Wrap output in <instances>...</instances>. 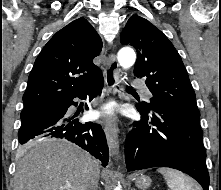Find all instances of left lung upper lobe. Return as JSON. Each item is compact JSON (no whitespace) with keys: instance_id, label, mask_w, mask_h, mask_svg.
Wrapping results in <instances>:
<instances>
[{"instance_id":"left-lung-upper-lobe-1","label":"left lung upper lobe","mask_w":221,"mask_h":190,"mask_svg":"<svg viewBox=\"0 0 221 190\" xmlns=\"http://www.w3.org/2000/svg\"><path fill=\"white\" fill-rule=\"evenodd\" d=\"M123 45H132L138 53L134 75L143 78L153 95L148 111L175 112L199 122L196 96L180 55L168 38L148 20L133 15L121 35Z\"/></svg>"}]
</instances>
